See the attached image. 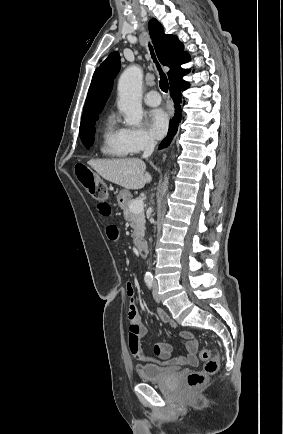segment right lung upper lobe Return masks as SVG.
<instances>
[{
  "label": "right lung upper lobe",
  "instance_id": "right-lung-upper-lobe-1",
  "mask_svg": "<svg viewBox=\"0 0 283 434\" xmlns=\"http://www.w3.org/2000/svg\"><path fill=\"white\" fill-rule=\"evenodd\" d=\"M148 28L159 60L170 68L167 73L170 83L176 78L182 79L183 75L190 72L180 67L181 64L190 60L189 54L183 53L184 45L176 36L165 34L164 28L155 18L149 21ZM119 69L120 56L114 52L95 70L85 101L81 124L93 122L98 118V114L110 95L113 78Z\"/></svg>",
  "mask_w": 283,
  "mask_h": 434
}]
</instances>
